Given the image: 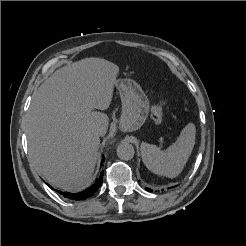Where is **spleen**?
Returning a JSON list of instances; mask_svg holds the SVG:
<instances>
[{
	"instance_id": "1",
	"label": "spleen",
	"mask_w": 246,
	"mask_h": 246,
	"mask_svg": "<svg viewBox=\"0 0 246 246\" xmlns=\"http://www.w3.org/2000/svg\"><path fill=\"white\" fill-rule=\"evenodd\" d=\"M196 129L189 123L180 133L176 142L165 151L157 146L143 142L141 155L144 165L153 173L174 178L178 176L187 163L195 145Z\"/></svg>"
}]
</instances>
